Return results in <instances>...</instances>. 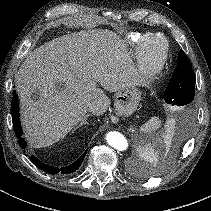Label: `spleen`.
Here are the masks:
<instances>
[{
	"label": "spleen",
	"mask_w": 211,
	"mask_h": 211,
	"mask_svg": "<svg viewBox=\"0 0 211 211\" xmlns=\"http://www.w3.org/2000/svg\"><path fill=\"white\" fill-rule=\"evenodd\" d=\"M161 120L158 117H152L144 125H142L141 130L143 132L155 131L159 128Z\"/></svg>",
	"instance_id": "obj_1"
}]
</instances>
